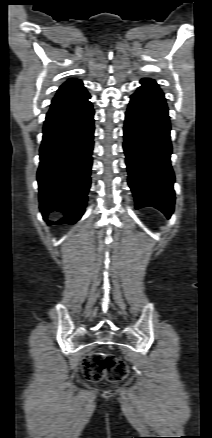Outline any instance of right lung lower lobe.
Here are the masks:
<instances>
[{
    "label": "right lung lower lobe",
    "instance_id": "1",
    "mask_svg": "<svg viewBox=\"0 0 212 438\" xmlns=\"http://www.w3.org/2000/svg\"><path fill=\"white\" fill-rule=\"evenodd\" d=\"M87 93L54 102L46 115L37 172L40 211L65 214L56 224H74L86 207L92 166L94 110Z\"/></svg>",
    "mask_w": 212,
    "mask_h": 438
}]
</instances>
